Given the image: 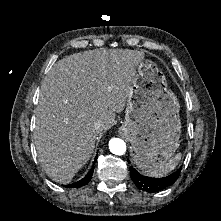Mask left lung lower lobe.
I'll return each mask as SVG.
<instances>
[{"mask_svg": "<svg viewBox=\"0 0 221 221\" xmlns=\"http://www.w3.org/2000/svg\"><path fill=\"white\" fill-rule=\"evenodd\" d=\"M181 167L173 174L163 178H150L141 175L133 167H130V176L136 186L146 192L153 193L172 185L179 177Z\"/></svg>", "mask_w": 221, "mask_h": 221, "instance_id": "obj_1", "label": "left lung lower lobe"}]
</instances>
